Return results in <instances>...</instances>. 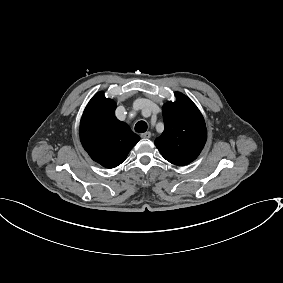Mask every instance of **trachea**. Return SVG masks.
Instances as JSON below:
<instances>
[{
	"label": "trachea",
	"instance_id": "3493384b",
	"mask_svg": "<svg viewBox=\"0 0 283 283\" xmlns=\"http://www.w3.org/2000/svg\"><path fill=\"white\" fill-rule=\"evenodd\" d=\"M148 126L147 123L145 121H139L135 124V131L138 133H144L146 132Z\"/></svg>",
	"mask_w": 283,
	"mask_h": 283
}]
</instances>
